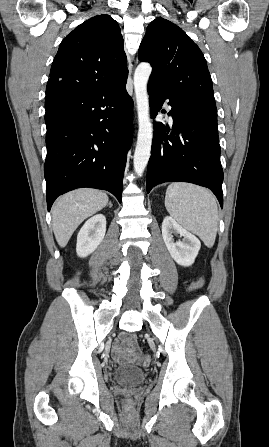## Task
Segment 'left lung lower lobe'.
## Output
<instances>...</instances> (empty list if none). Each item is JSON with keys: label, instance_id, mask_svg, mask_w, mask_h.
<instances>
[{"label": "left lung lower lobe", "instance_id": "1", "mask_svg": "<svg viewBox=\"0 0 269 447\" xmlns=\"http://www.w3.org/2000/svg\"><path fill=\"white\" fill-rule=\"evenodd\" d=\"M151 117L165 99L172 110L173 127L157 122L147 168V192L164 182H189L209 188L223 207V170L217 121L195 116L180 101L148 85ZM166 132H170L168 135Z\"/></svg>", "mask_w": 269, "mask_h": 447}]
</instances>
